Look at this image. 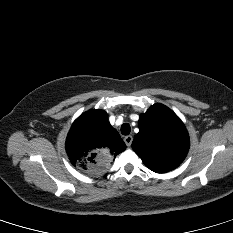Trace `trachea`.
I'll return each mask as SVG.
<instances>
[{
    "mask_svg": "<svg viewBox=\"0 0 233 233\" xmlns=\"http://www.w3.org/2000/svg\"><path fill=\"white\" fill-rule=\"evenodd\" d=\"M130 131H131V128H130V125L128 123H124L122 126H121V133L123 135H129L130 134Z\"/></svg>",
    "mask_w": 233,
    "mask_h": 233,
    "instance_id": "3493384b",
    "label": "trachea"
}]
</instances>
